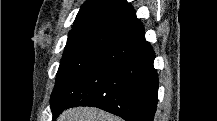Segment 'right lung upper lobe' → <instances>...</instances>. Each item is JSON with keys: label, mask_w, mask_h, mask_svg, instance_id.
<instances>
[{"label": "right lung upper lobe", "mask_w": 217, "mask_h": 121, "mask_svg": "<svg viewBox=\"0 0 217 121\" xmlns=\"http://www.w3.org/2000/svg\"><path fill=\"white\" fill-rule=\"evenodd\" d=\"M134 19L135 11L126 0H86L76 16L73 28L100 21L128 24Z\"/></svg>", "instance_id": "cb5924a9"}]
</instances>
